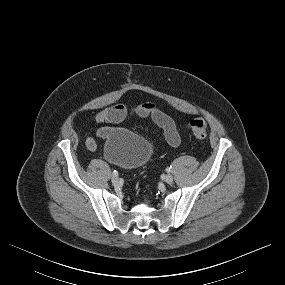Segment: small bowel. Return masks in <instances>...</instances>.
Instances as JSON below:
<instances>
[{
  "mask_svg": "<svg viewBox=\"0 0 285 285\" xmlns=\"http://www.w3.org/2000/svg\"><path fill=\"white\" fill-rule=\"evenodd\" d=\"M130 116L137 117L140 121H152L157 127L163 130L168 144L177 147L180 144V136L176 129V125L172 118L163 111L159 106L152 102H145L134 107L125 105H116L106 108L98 112L94 117V121L98 123H120ZM106 133L104 128L97 131L99 137H103ZM85 146L89 151L96 149V140L89 136L85 140Z\"/></svg>",
  "mask_w": 285,
  "mask_h": 285,
  "instance_id": "small-bowel-1",
  "label": "small bowel"
}]
</instances>
